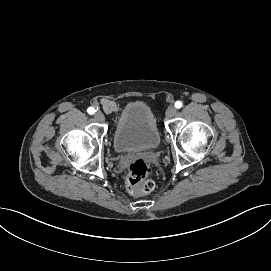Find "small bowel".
<instances>
[{
	"mask_svg": "<svg viewBox=\"0 0 271 271\" xmlns=\"http://www.w3.org/2000/svg\"><path fill=\"white\" fill-rule=\"evenodd\" d=\"M101 105L103 109L109 114L118 112L120 110V107L118 106V104L110 99H106V98L102 99Z\"/></svg>",
	"mask_w": 271,
	"mask_h": 271,
	"instance_id": "c3829d8e",
	"label": "small bowel"
}]
</instances>
